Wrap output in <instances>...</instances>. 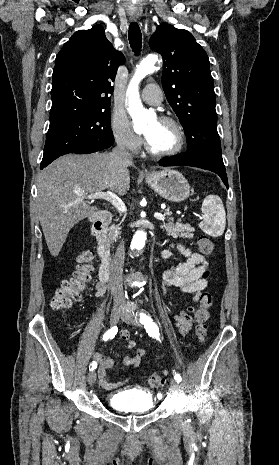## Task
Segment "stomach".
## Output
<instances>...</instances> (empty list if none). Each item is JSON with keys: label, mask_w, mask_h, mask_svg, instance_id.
<instances>
[{"label": "stomach", "mask_w": 279, "mask_h": 465, "mask_svg": "<svg viewBox=\"0 0 279 465\" xmlns=\"http://www.w3.org/2000/svg\"><path fill=\"white\" fill-rule=\"evenodd\" d=\"M146 182L161 197L171 202H181L189 197L190 186L182 173L164 169L146 176Z\"/></svg>", "instance_id": "stomach-1"}]
</instances>
